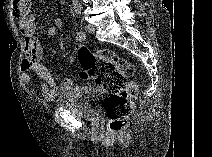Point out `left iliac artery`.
Here are the masks:
<instances>
[{
	"label": "left iliac artery",
	"mask_w": 212,
	"mask_h": 157,
	"mask_svg": "<svg viewBox=\"0 0 212 157\" xmlns=\"http://www.w3.org/2000/svg\"><path fill=\"white\" fill-rule=\"evenodd\" d=\"M85 39V34H84V32H82V31H79L78 33H77V40H84Z\"/></svg>",
	"instance_id": "1"
}]
</instances>
